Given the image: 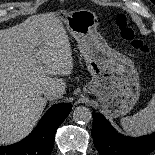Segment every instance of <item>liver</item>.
<instances>
[{
  "mask_svg": "<svg viewBox=\"0 0 155 155\" xmlns=\"http://www.w3.org/2000/svg\"><path fill=\"white\" fill-rule=\"evenodd\" d=\"M63 19L54 12L38 14L0 30V145L31 132L46 106V88L64 94L65 82L51 77L73 70Z\"/></svg>",
  "mask_w": 155,
  "mask_h": 155,
  "instance_id": "liver-1",
  "label": "liver"
}]
</instances>
